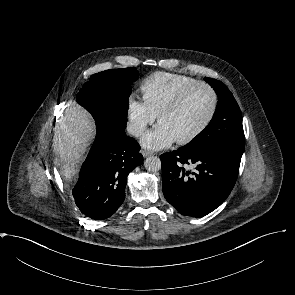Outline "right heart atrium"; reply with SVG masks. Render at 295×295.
<instances>
[{"label": "right heart atrium", "mask_w": 295, "mask_h": 295, "mask_svg": "<svg viewBox=\"0 0 295 295\" xmlns=\"http://www.w3.org/2000/svg\"><path fill=\"white\" fill-rule=\"evenodd\" d=\"M127 115L128 130L136 137L142 135L146 128L157 119V115L146 100L135 96H131L128 99Z\"/></svg>", "instance_id": "obj_1"}]
</instances>
